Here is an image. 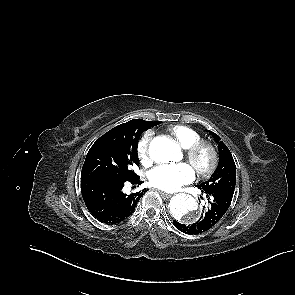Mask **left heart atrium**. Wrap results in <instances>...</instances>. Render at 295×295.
I'll return each mask as SVG.
<instances>
[{"instance_id":"39dd6f15","label":"left heart atrium","mask_w":295,"mask_h":295,"mask_svg":"<svg viewBox=\"0 0 295 295\" xmlns=\"http://www.w3.org/2000/svg\"><path fill=\"white\" fill-rule=\"evenodd\" d=\"M194 179L195 171L188 163L160 165L149 173L151 185L167 192L177 191Z\"/></svg>"}]
</instances>
